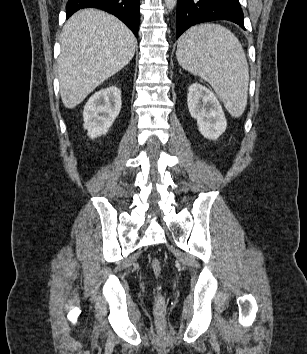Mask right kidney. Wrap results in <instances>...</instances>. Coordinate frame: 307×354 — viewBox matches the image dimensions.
I'll return each mask as SVG.
<instances>
[{
	"mask_svg": "<svg viewBox=\"0 0 307 354\" xmlns=\"http://www.w3.org/2000/svg\"><path fill=\"white\" fill-rule=\"evenodd\" d=\"M121 90L116 86L101 89L90 97L83 111L84 129L94 139L105 135L121 110Z\"/></svg>",
	"mask_w": 307,
	"mask_h": 354,
	"instance_id": "right-kidney-1",
	"label": "right kidney"
}]
</instances>
